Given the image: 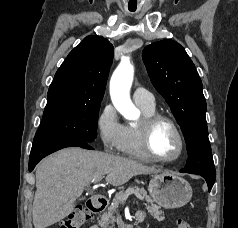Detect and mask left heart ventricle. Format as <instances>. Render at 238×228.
<instances>
[{
	"instance_id": "b2bd125f",
	"label": "left heart ventricle",
	"mask_w": 238,
	"mask_h": 228,
	"mask_svg": "<svg viewBox=\"0 0 238 228\" xmlns=\"http://www.w3.org/2000/svg\"><path fill=\"white\" fill-rule=\"evenodd\" d=\"M153 151L161 158H173L179 151V141L167 123H160L152 136Z\"/></svg>"
}]
</instances>
